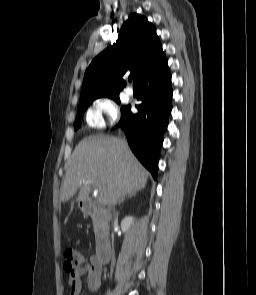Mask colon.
Segmentation results:
<instances>
[{
	"mask_svg": "<svg viewBox=\"0 0 256 295\" xmlns=\"http://www.w3.org/2000/svg\"><path fill=\"white\" fill-rule=\"evenodd\" d=\"M64 258V269L68 272H72L79 268V266L84 261L83 255L77 250L67 247L63 251Z\"/></svg>",
	"mask_w": 256,
	"mask_h": 295,
	"instance_id": "5ec220e1",
	"label": "colon"
}]
</instances>
